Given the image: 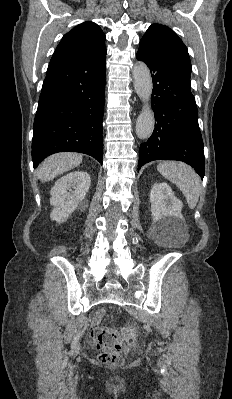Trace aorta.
Instances as JSON below:
<instances>
[{
    "label": "aorta",
    "instance_id": "obj_1",
    "mask_svg": "<svg viewBox=\"0 0 232 399\" xmlns=\"http://www.w3.org/2000/svg\"><path fill=\"white\" fill-rule=\"evenodd\" d=\"M134 89L143 102V108L136 121V134L140 139L149 138L154 130V114L150 99L152 94V78L147 65L140 62L134 66Z\"/></svg>",
    "mask_w": 232,
    "mask_h": 399
}]
</instances>
